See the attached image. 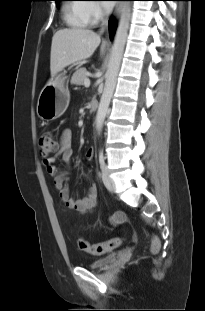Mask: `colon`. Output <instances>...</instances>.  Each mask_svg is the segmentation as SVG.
<instances>
[{
  "instance_id": "colon-1",
  "label": "colon",
  "mask_w": 205,
  "mask_h": 311,
  "mask_svg": "<svg viewBox=\"0 0 205 311\" xmlns=\"http://www.w3.org/2000/svg\"><path fill=\"white\" fill-rule=\"evenodd\" d=\"M40 154L46 159L51 154L56 152L59 148V142L54 135V133L50 130H47L42 133L39 140ZM121 238L116 237L112 238L106 242L91 244L83 238H79L77 240V246L81 251L92 255H103L110 251L117 249L121 245ZM160 240L158 237L153 236L151 238V251L152 253H157L160 249Z\"/></svg>"
}]
</instances>
